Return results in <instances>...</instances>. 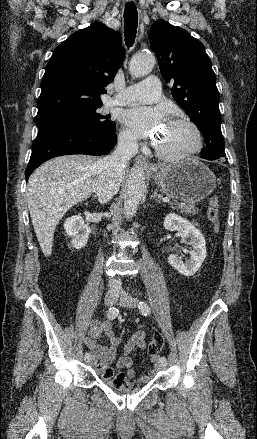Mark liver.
Segmentation results:
<instances>
[{
	"label": "liver",
	"instance_id": "liver-1",
	"mask_svg": "<svg viewBox=\"0 0 257 439\" xmlns=\"http://www.w3.org/2000/svg\"><path fill=\"white\" fill-rule=\"evenodd\" d=\"M102 159L86 155H66L45 162L30 176L27 204L46 257L52 253L54 232L65 213L86 200L96 189Z\"/></svg>",
	"mask_w": 257,
	"mask_h": 439
}]
</instances>
